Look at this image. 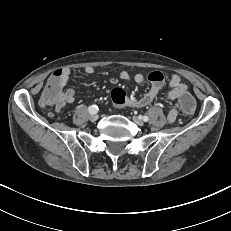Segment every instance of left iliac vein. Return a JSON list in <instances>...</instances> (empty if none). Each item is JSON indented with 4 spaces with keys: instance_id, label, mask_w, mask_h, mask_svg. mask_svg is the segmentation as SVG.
I'll use <instances>...</instances> for the list:
<instances>
[{
    "instance_id": "obj_1",
    "label": "left iliac vein",
    "mask_w": 231,
    "mask_h": 231,
    "mask_svg": "<svg viewBox=\"0 0 231 231\" xmlns=\"http://www.w3.org/2000/svg\"><path fill=\"white\" fill-rule=\"evenodd\" d=\"M133 121L139 125V126H143V120L140 118V117H137V116H133Z\"/></svg>"
}]
</instances>
